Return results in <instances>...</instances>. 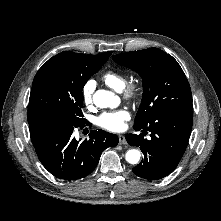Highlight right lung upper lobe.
Returning a JSON list of instances; mask_svg holds the SVG:
<instances>
[{
	"label": "right lung upper lobe",
	"mask_w": 221,
	"mask_h": 221,
	"mask_svg": "<svg viewBox=\"0 0 221 221\" xmlns=\"http://www.w3.org/2000/svg\"><path fill=\"white\" fill-rule=\"evenodd\" d=\"M111 53L112 52L109 51V52H105L101 55H91V56H93V58L97 61L106 62L107 59L109 58V56L111 55Z\"/></svg>",
	"instance_id": "right-lung-upper-lobe-1"
}]
</instances>
